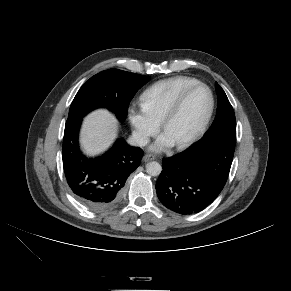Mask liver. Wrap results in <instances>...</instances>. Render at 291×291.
I'll use <instances>...</instances> for the list:
<instances>
[{
	"label": "liver",
	"instance_id": "liver-1",
	"mask_svg": "<svg viewBox=\"0 0 291 291\" xmlns=\"http://www.w3.org/2000/svg\"><path fill=\"white\" fill-rule=\"evenodd\" d=\"M117 120L106 109L87 115L81 130V145L88 155L105 151L116 137Z\"/></svg>",
	"mask_w": 291,
	"mask_h": 291
}]
</instances>
